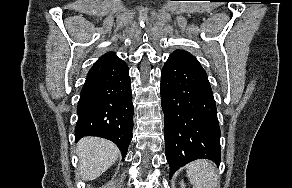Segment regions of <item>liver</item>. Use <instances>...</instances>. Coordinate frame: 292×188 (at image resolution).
Segmentation results:
<instances>
[{
  "label": "liver",
  "instance_id": "6515ba94",
  "mask_svg": "<svg viewBox=\"0 0 292 188\" xmlns=\"http://www.w3.org/2000/svg\"><path fill=\"white\" fill-rule=\"evenodd\" d=\"M80 175L90 181L99 177L110 168L120 154L117 146L99 137H84L77 145Z\"/></svg>",
  "mask_w": 292,
  "mask_h": 188
}]
</instances>
